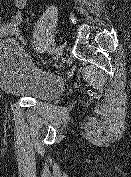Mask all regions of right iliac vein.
Masks as SVG:
<instances>
[{
	"label": "right iliac vein",
	"mask_w": 131,
	"mask_h": 177,
	"mask_svg": "<svg viewBox=\"0 0 131 177\" xmlns=\"http://www.w3.org/2000/svg\"><path fill=\"white\" fill-rule=\"evenodd\" d=\"M62 51V47H57V49L55 50V55L58 56Z\"/></svg>",
	"instance_id": "63e3f726"
}]
</instances>
